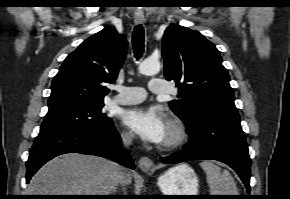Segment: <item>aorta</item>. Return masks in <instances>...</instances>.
<instances>
[{
  "label": "aorta",
  "instance_id": "aorta-1",
  "mask_svg": "<svg viewBox=\"0 0 290 199\" xmlns=\"http://www.w3.org/2000/svg\"><path fill=\"white\" fill-rule=\"evenodd\" d=\"M161 69V64L156 59H146L139 65V72L146 76L157 74Z\"/></svg>",
  "mask_w": 290,
  "mask_h": 199
}]
</instances>
